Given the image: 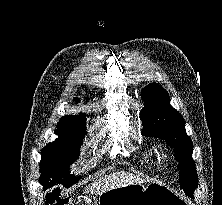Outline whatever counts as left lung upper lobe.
Returning a JSON list of instances; mask_svg holds the SVG:
<instances>
[{
	"instance_id": "1",
	"label": "left lung upper lobe",
	"mask_w": 222,
	"mask_h": 205,
	"mask_svg": "<svg viewBox=\"0 0 222 205\" xmlns=\"http://www.w3.org/2000/svg\"><path fill=\"white\" fill-rule=\"evenodd\" d=\"M145 103L140 112L143 122L142 134L149 137L165 138L174 148L179 162L180 186L186 193H193L197 187L195 162L192 159L193 144L186 134L182 115L170 105L167 91L159 84L151 83L141 91Z\"/></svg>"
}]
</instances>
